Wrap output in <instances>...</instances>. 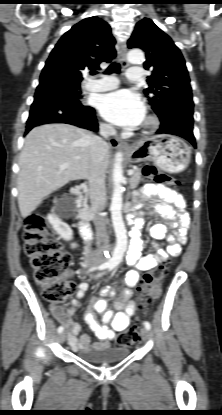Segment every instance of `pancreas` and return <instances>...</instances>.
<instances>
[{
	"instance_id": "obj_1",
	"label": "pancreas",
	"mask_w": 222,
	"mask_h": 415,
	"mask_svg": "<svg viewBox=\"0 0 222 415\" xmlns=\"http://www.w3.org/2000/svg\"><path fill=\"white\" fill-rule=\"evenodd\" d=\"M141 175L142 173L140 169L136 168L133 170V174L131 175V178L129 179L131 189H135L138 186L141 180Z\"/></svg>"
}]
</instances>
